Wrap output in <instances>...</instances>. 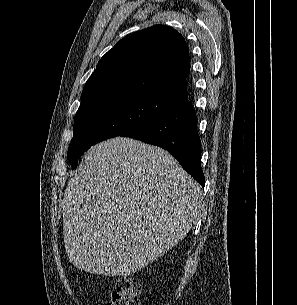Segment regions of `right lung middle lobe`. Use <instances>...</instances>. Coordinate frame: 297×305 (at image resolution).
Masks as SVG:
<instances>
[{
    "mask_svg": "<svg viewBox=\"0 0 297 305\" xmlns=\"http://www.w3.org/2000/svg\"><path fill=\"white\" fill-rule=\"evenodd\" d=\"M172 103L143 95L106 98L79 108L67 158L76 169L79 157L92 145L144 125Z\"/></svg>",
    "mask_w": 297,
    "mask_h": 305,
    "instance_id": "right-lung-middle-lobe-1",
    "label": "right lung middle lobe"
}]
</instances>
